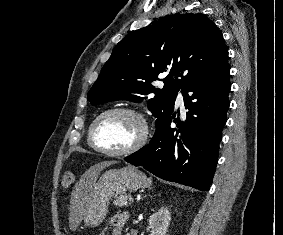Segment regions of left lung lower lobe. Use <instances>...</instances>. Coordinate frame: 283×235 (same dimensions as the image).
<instances>
[{
    "label": "left lung lower lobe",
    "instance_id": "0a47b994",
    "mask_svg": "<svg viewBox=\"0 0 283 235\" xmlns=\"http://www.w3.org/2000/svg\"><path fill=\"white\" fill-rule=\"evenodd\" d=\"M228 62L182 87L187 118L173 112L156 128L150 143L124 160L161 179L209 190L216 169L222 128L230 102ZM177 128H171V123Z\"/></svg>",
    "mask_w": 283,
    "mask_h": 235
}]
</instances>
